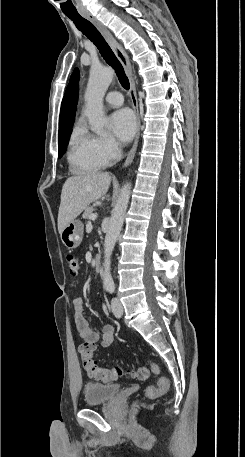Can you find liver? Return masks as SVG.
Wrapping results in <instances>:
<instances>
[{
  "label": "liver",
  "mask_w": 245,
  "mask_h": 457,
  "mask_svg": "<svg viewBox=\"0 0 245 457\" xmlns=\"http://www.w3.org/2000/svg\"><path fill=\"white\" fill-rule=\"evenodd\" d=\"M111 182L108 172H91L81 176H69L63 184L58 210V231L72 222L90 202L106 194Z\"/></svg>",
  "instance_id": "1"
}]
</instances>
